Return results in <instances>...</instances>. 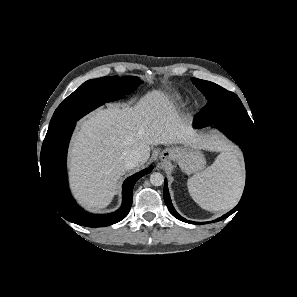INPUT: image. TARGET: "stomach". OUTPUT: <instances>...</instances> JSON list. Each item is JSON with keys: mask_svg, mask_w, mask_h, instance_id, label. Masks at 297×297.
Listing matches in <instances>:
<instances>
[{"mask_svg": "<svg viewBox=\"0 0 297 297\" xmlns=\"http://www.w3.org/2000/svg\"><path fill=\"white\" fill-rule=\"evenodd\" d=\"M165 161L177 162L186 174H194L202 171L206 165V159L198 147L178 145L163 151Z\"/></svg>", "mask_w": 297, "mask_h": 297, "instance_id": "stomach-1", "label": "stomach"}]
</instances>
